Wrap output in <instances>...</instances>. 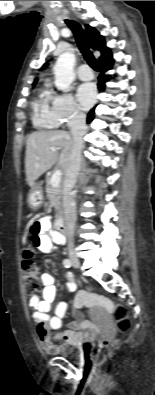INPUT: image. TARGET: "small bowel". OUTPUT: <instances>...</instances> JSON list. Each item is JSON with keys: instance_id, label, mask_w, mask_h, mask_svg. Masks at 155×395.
<instances>
[{"instance_id": "small-bowel-1", "label": "small bowel", "mask_w": 155, "mask_h": 395, "mask_svg": "<svg viewBox=\"0 0 155 395\" xmlns=\"http://www.w3.org/2000/svg\"><path fill=\"white\" fill-rule=\"evenodd\" d=\"M50 218L45 216L36 221L31 227V239L33 245L43 253H51L56 250L54 244L64 243V238L59 234L50 232ZM69 282L66 287L68 292L76 290V284L72 281V276L68 275ZM43 285L42 297L32 296L29 299V307L33 310L32 319L36 324V333L40 340L42 348L49 353L56 352L59 342H65L70 345H81L91 340L97 331V326L83 319L78 309L88 306L94 309L98 315L103 312L112 310V302L102 296L89 294L86 292H78L75 300L73 312L74 321L69 324V329L59 332L54 337L51 331H59L62 327V319L67 310V303L62 301L57 304L54 315L48 314L51 304L56 298V287L54 277L49 273L41 275Z\"/></svg>"}]
</instances>
